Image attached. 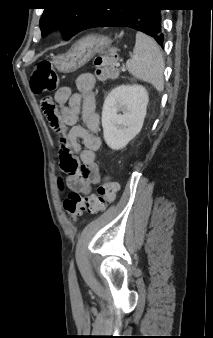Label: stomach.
Here are the masks:
<instances>
[{"label":"stomach","instance_id":"stomach-1","mask_svg":"<svg viewBox=\"0 0 213 338\" xmlns=\"http://www.w3.org/2000/svg\"><path fill=\"white\" fill-rule=\"evenodd\" d=\"M112 41L104 36L90 35L77 41L70 50L54 60L61 73H72L88 63L96 53L108 48Z\"/></svg>","mask_w":213,"mask_h":338}]
</instances>
